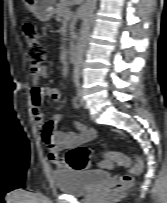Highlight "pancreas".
<instances>
[{
	"label": "pancreas",
	"mask_w": 167,
	"mask_h": 203,
	"mask_svg": "<svg viewBox=\"0 0 167 203\" xmlns=\"http://www.w3.org/2000/svg\"><path fill=\"white\" fill-rule=\"evenodd\" d=\"M69 6H70L69 0H60L55 10L57 21L63 22L66 19L65 16H66L67 10L69 9Z\"/></svg>",
	"instance_id": "cf45deb5"
}]
</instances>
